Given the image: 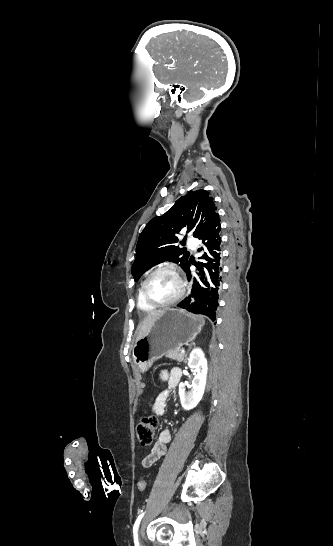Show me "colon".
Instances as JSON below:
<instances>
[{
    "mask_svg": "<svg viewBox=\"0 0 333 546\" xmlns=\"http://www.w3.org/2000/svg\"><path fill=\"white\" fill-rule=\"evenodd\" d=\"M158 427L157 417L154 415H148L141 419L137 426V438L141 447H149L154 440V435ZM137 488L140 492L146 490V482L140 480L137 483Z\"/></svg>",
    "mask_w": 333,
    "mask_h": 546,
    "instance_id": "5ec220e1",
    "label": "colon"
}]
</instances>
